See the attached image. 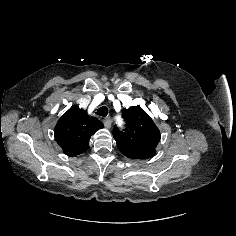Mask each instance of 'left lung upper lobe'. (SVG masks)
Segmentation results:
<instances>
[{
  "instance_id": "obj_1",
  "label": "left lung upper lobe",
  "mask_w": 236,
  "mask_h": 236,
  "mask_svg": "<svg viewBox=\"0 0 236 236\" xmlns=\"http://www.w3.org/2000/svg\"><path fill=\"white\" fill-rule=\"evenodd\" d=\"M125 129H113V136L119 149L155 152L160 141V131L153 120L140 107L123 109Z\"/></svg>"
}]
</instances>
